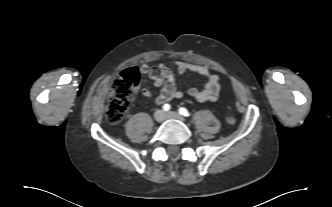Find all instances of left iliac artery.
Instances as JSON below:
<instances>
[{
    "label": "left iliac artery",
    "mask_w": 332,
    "mask_h": 207,
    "mask_svg": "<svg viewBox=\"0 0 332 207\" xmlns=\"http://www.w3.org/2000/svg\"><path fill=\"white\" fill-rule=\"evenodd\" d=\"M179 114H181V115H183V116H185V117H188L189 116V112H188V110L186 109V108H184V107H181V108H179Z\"/></svg>",
    "instance_id": "44dca946"
}]
</instances>
